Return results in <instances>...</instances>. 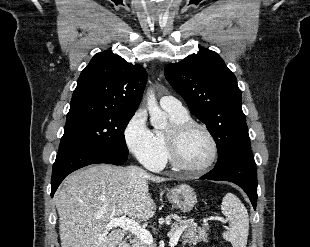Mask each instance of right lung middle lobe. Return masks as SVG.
<instances>
[{
    "label": "right lung middle lobe",
    "instance_id": "right-lung-middle-lobe-1",
    "mask_svg": "<svg viewBox=\"0 0 310 247\" xmlns=\"http://www.w3.org/2000/svg\"><path fill=\"white\" fill-rule=\"evenodd\" d=\"M133 115L109 109H70L59 150L80 146L128 155L124 130Z\"/></svg>",
    "mask_w": 310,
    "mask_h": 247
}]
</instances>
